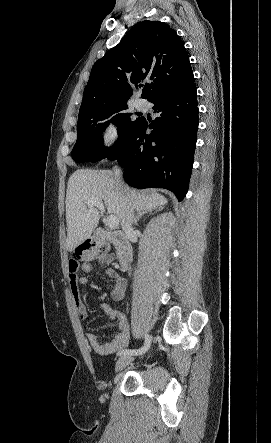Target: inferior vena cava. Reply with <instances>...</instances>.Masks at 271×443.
<instances>
[{
    "instance_id": "1",
    "label": "inferior vena cava",
    "mask_w": 271,
    "mask_h": 443,
    "mask_svg": "<svg viewBox=\"0 0 271 443\" xmlns=\"http://www.w3.org/2000/svg\"><path fill=\"white\" fill-rule=\"evenodd\" d=\"M113 178L115 180V188L116 190H118V192H122V194H124L127 206V210L121 223L122 229H124V231H134L132 227V223L134 220V208H132L131 202H129V198H127V188L122 180V172L121 170H119V168H116V170H114ZM120 261L122 265V271H125L128 265L127 255H124V257H120Z\"/></svg>"
}]
</instances>
